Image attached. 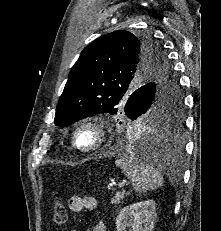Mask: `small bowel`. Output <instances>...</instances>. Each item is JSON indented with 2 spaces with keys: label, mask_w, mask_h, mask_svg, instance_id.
Here are the masks:
<instances>
[{
  "label": "small bowel",
  "mask_w": 221,
  "mask_h": 231,
  "mask_svg": "<svg viewBox=\"0 0 221 231\" xmlns=\"http://www.w3.org/2000/svg\"><path fill=\"white\" fill-rule=\"evenodd\" d=\"M69 208L73 212L82 210L95 211L97 209V200L92 196L74 195L69 199ZM92 231H106V226L103 222L98 221Z\"/></svg>",
  "instance_id": "c3829d8e"
}]
</instances>
